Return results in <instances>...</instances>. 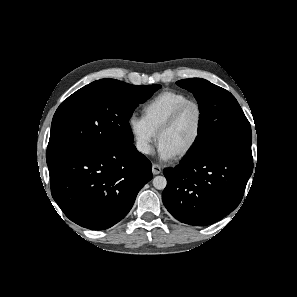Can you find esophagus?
<instances>
[{
    "label": "esophagus",
    "mask_w": 297,
    "mask_h": 297,
    "mask_svg": "<svg viewBox=\"0 0 297 297\" xmlns=\"http://www.w3.org/2000/svg\"><path fill=\"white\" fill-rule=\"evenodd\" d=\"M152 172L154 175L160 174L162 172V167L158 164H153Z\"/></svg>",
    "instance_id": "34e87169"
}]
</instances>
